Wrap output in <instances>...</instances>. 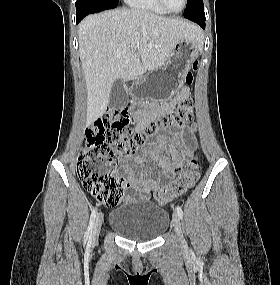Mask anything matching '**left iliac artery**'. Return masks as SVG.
I'll use <instances>...</instances> for the list:
<instances>
[{"label":"left iliac artery","mask_w":280,"mask_h":285,"mask_svg":"<svg viewBox=\"0 0 280 285\" xmlns=\"http://www.w3.org/2000/svg\"><path fill=\"white\" fill-rule=\"evenodd\" d=\"M176 210H177V214H178L179 218L182 219L183 218V211H182L181 207L177 206Z\"/></svg>","instance_id":"left-iliac-artery-1"}]
</instances>
